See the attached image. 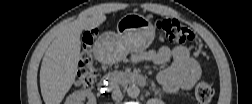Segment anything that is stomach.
<instances>
[{"label": "stomach", "mask_w": 252, "mask_h": 104, "mask_svg": "<svg viewBox=\"0 0 252 104\" xmlns=\"http://www.w3.org/2000/svg\"><path fill=\"white\" fill-rule=\"evenodd\" d=\"M117 33L102 34L95 45L96 52L106 63H117L129 53L147 49L155 37L152 22L140 14H126L117 23Z\"/></svg>", "instance_id": "stomach-1"}]
</instances>
